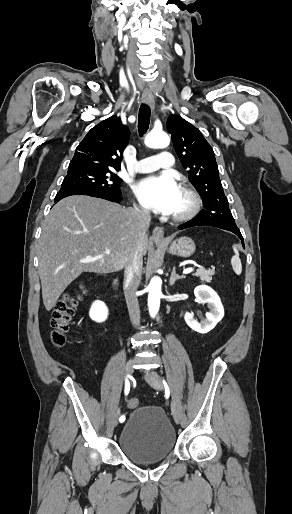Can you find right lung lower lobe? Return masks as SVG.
Masks as SVG:
<instances>
[{
    "instance_id": "1",
    "label": "right lung lower lobe",
    "mask_w": 292,
    "mask_h": 514,
    "mask_svg": "<svg viewBox=\"0 0 292 514\" xmlns=\"http://www.w3.org/2000/svg\"><path fill=\"white\" fill-rule=\"evenodd\" d=\"M72 195H88L92 197L103 198L113 202H120L122 200L121 191L117 193H105V192H97V191H86V190H68L63 192H58L54 201L57 203L61 199L72 196Z\"/></svg>"
}]
</instances>
